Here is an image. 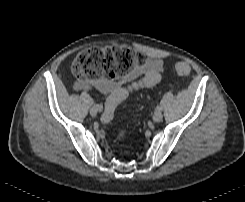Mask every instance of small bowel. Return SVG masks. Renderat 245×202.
Masks as SVG:
<instances>
[{
	"mask_svg": "<svg viewBox=\"0 0 245 202\" xmlns=\"http://www.w3.org/2000/svg\"><path fill=\"white\" fill-rule=\"evenodd\" d=\"M162 70V60L150 57L145 59L141 65L134 66L123 81H113L103 77L93 80L82 79L76 82L75 89L84 91L96 89L107 94V104L116 107L138 90L156 85Z\"/></svg>",
	"mask_w": 245,
	"mask_h": 202,
	"instance_id": "1",
	"label": "small bowel"
}]
</instances>
